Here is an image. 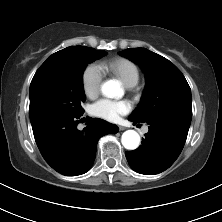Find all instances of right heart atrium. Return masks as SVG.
I'll list each match as a JSON object with an SVG mask.
<instances>
[{"label": "right heart atrium", "mask_w": 222, "mask_h": 222, "mask_svg": "<svg viewBox=\"0 0 222 222\" xmlns=\"http://www.w3.org/2000/svg\"><path fill=\"white\" fill-rule=\"evenodd\" d=\"M103 76L102 68L98 64L91 63L86 66L82 73V87L86 96L92 98L100 92Z\"/></svg>", "instance_id": "d8ad5b80"}]
</instances>
